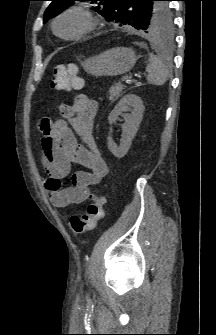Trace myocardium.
<instances>
[{
	"instance_id": "f54148a6",
	"label": "myocardium",
	"mask_w": 216,
	"mask_h": 335,
	"mask_svg": "<svg viewBox=\"0 0 216 335\" xmlns=\"http://www.w3.org/2000/svg\"><path fill=\"white\" fill-rule=\"evenodd\" d=\"M69 14H76L80 16L84 21V26L78 33L71 36H64L58 32L57 25L64 16ZM97 26H98V19L92 11L82 6H72L65 9L56 16L52 24V29L54 33L61 39L71 41V40H78L84 37L88 33L92 32Z\"/></svg>"
}]
</instances>
